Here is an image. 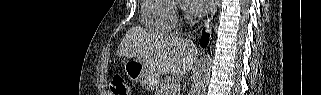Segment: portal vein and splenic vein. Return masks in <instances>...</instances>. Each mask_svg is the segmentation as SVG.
Wrapping results in <instances>:
<instances>
[{
    "label": "portal vein and splenic vein",
    "instance_id": "obj_1",
    "mask_svg": "<svg viewBox=\"0 0 321 95\" xmlns=\"http://www.w3.org/2000/svg\"><path fill=\"white\" fill-rule=\"evenodd\" d=\"M174 84H175V90L179 89V83L175 81Z\"/></svg>",
    "mask_w": 321,
    "mask_h": 95
}]
</instances>
